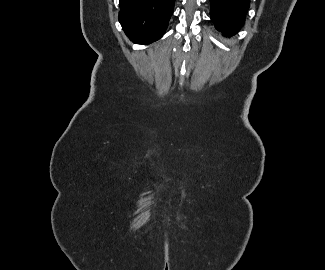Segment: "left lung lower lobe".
I'll use <instances>...</instances> for the list:
<instances>
[{"label":"left lung lower lobe","mask_w":325,"mask_h":270,"mask_svg":"<svg viewBox=\"0 0 325 270\" xmlns=\"http://www.w3.org/2000/svg\"><path fill=\"white\" fill-rule=\"evenodd\" d=\"M211 19L216 28L226 36L238 32L244 24L250 0H210Z\"/></svg>","instance_id":"obj_1"}]
</instances>
